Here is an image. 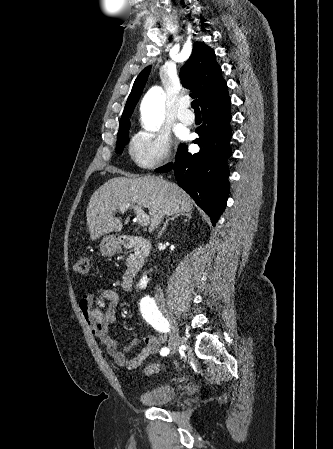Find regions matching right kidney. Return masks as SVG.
<instances>
[{"label":"right kidney","mask_w":333,"mask_h":449,"mask_svg":"<svg viewBox=\"0 0 333 449\" xmlns=\"http://www.w3.org/2000/svg\"><path fill=\"white\" fill-rule=\"evenodd\" d=\"M147 282H148L147 276H143L141 278V280L139 281V284H138L139 288H145L147 285Z\"/></svg>","instance_id":"right-kidney-1"}]
</instances>
